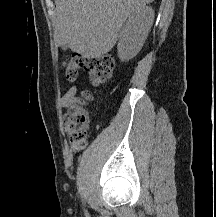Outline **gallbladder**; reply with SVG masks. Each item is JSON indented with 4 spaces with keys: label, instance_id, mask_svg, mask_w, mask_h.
<instances>
[{
    "label": "gallbladder",
    "instance_id": "bac80fb5",
    "mask_svg": "<svg viewBox=\"0 0 216 217\" xmlns=\"http://www.w3.org/2000/svg\"><path fill=\"white\" fill-rule=\"evenodd\" d=\"M68 47H69V44H64V45L61 46V48H62L63 50H66Z\"/></svg>",
    "mask_w": 216,
    "mask_h": 217
}]
</instances>
